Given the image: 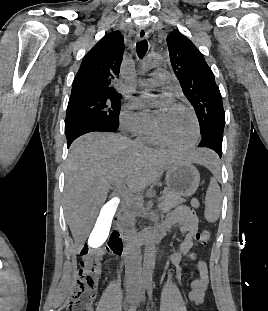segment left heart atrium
I'll return each mask as SVG.
<instances>
[{
    "label": "left heart atrium",
    "instance_id": "left-heart-atrium-1",
    "mask_svg": "<svg viewBox=\"0 0 268 311\" xmlns=\"http://www.w3.org/2000/svg\"><path fill=\"white\" fill-rule=\"evenodd\" d=\"M149 97V95L143 96L138 99L139 104H145V99ZM174 103L169 95H163L162 96V110H168L174 107Z\"/></svg>",
    "mask_w": 268,
    "mask_h": 311
}]
</instances>
